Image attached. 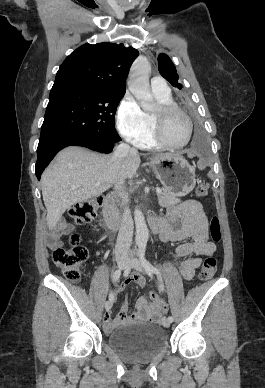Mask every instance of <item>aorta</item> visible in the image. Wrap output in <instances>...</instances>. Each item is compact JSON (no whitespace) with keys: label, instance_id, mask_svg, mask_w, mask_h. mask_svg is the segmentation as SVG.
<instances>
[{"label":"aorta","instance_id":"1","mask_svg":"<svg viewBox=\"0 0 265 388\" xmlns=\"http://www.w3.org/2000/svg\"><path fill=\"white\" fill-rule=\"evenodd\" d=\"M150 64L148 60L140 56L133 64L128 86L131 93L140 101L143 109H149L152 106L153 96L149 86ZM136 225L135 243L139 247L146 246L149 238V231L145 222V217L139 208L134 211Z\"/></svg>","mask_w":265,"mask_h":388}]
</instances>
